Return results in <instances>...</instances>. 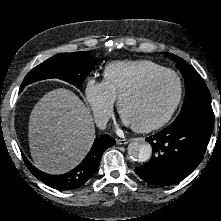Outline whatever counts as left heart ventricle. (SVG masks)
<instances>
[{
	"label": "left heart ventricle",
	"instance_id": "b2bd125f",
	"mask_svg": "<svg viewBox=\"0 0 221 221\" xmlns=\"http://www.w3.org/2000/svg\"><path fill=\"white\" fill-rule=\"evenodd\" d=\"M177 90V82L173 76L157 77L143 90L124 101L122 116L134 126L155 123L170 110Z\"/></svg>",
	"mask_w": 221,
	"mask_h": 221
}]
</instances>
